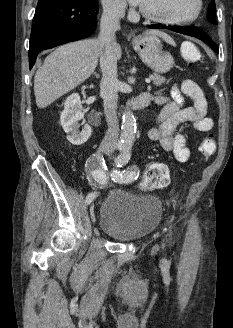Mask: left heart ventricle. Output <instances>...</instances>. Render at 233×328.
<instances>
[{
    "label": "left heart ventricle",
    "mask_w": 233,
    "mask_h": 328,
    "mask_svg": "<svg viewBox=\"0 0 233 328\" xmlns=\"http://www.w3.org/2000/svg\"><path fill=\"white\" fill-rule=\"evenodd\" d=\"M148 13L167 18L184 19L195 10V0H143L140 5Z\"/></svg>",
    "instance_id": "left-heart-ventricle-1"
}]
</instances>
